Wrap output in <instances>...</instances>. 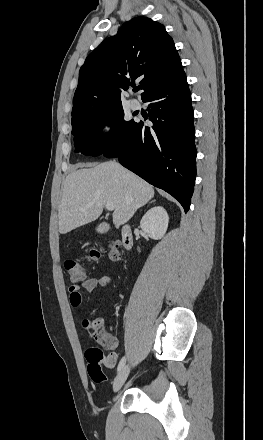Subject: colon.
Returning <instances> with one entry per match:
<instances>
[{"mask_svg":"<svg viewBox=\"0 0 263 440\" xmlns=\"http://www.w3.org/2000/svg\"><path fill=\"white\" fill-rule=\"evenodd\" d=\"M119 247L120 243L118 241L113 242L107 248L90 247L86 251V258L88 260H97L107 251L112 260L119 261ZM65 271L72 283L84 281L88 275L86 267L79 260L74 258L68 259L65 262ZM84 328L95 341H99L104 344L105 338L93 326L92 321L86 320L84 322ZM85 355L87 360V371L90 377L95 382H104L106 380V376L103 371V365L110 369L114 368L116 365V355L114 353H110L105 356L102 349L97 345H89L86 349Z\"/></svg>","mask_w":263,"mask_h":440,"instance_id":"1","label":"colon"}]
</instances>
